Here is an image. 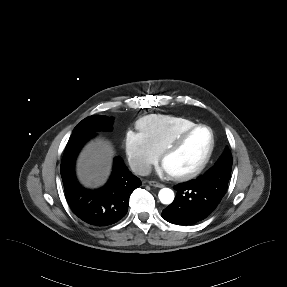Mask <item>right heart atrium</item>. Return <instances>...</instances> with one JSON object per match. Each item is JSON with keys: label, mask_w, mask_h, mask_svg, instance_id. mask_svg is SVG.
<instances>
[{"label": "right heart atrium", "mask_w": 287, "mask_h": 287, "mask_svg": "<svg viewBox=\"0 0 287 287\" xmlns=\"http://www.w3.org/2000/svg\"><path fill=\"white\" fill-rule=\"evenodd\" d=\"M124 146L130 165L139 174H147L159 159V152L141 132L128 131Z\"/></svg>", "instance_id": "obj_1"}]
</instances>
